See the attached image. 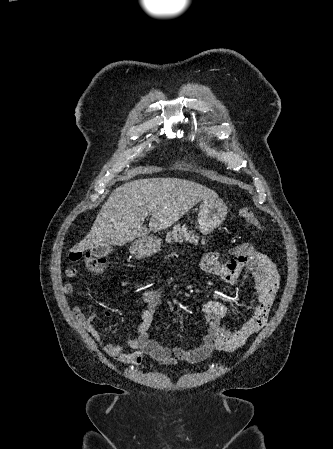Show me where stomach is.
<instances>
[{
  "mask_svg": "<svg viewBox=\"0 0 333 449\" xmlns=\"http://www.w3.org/2000/svg\"><path fill=\"white\" fill-rule=\"evenodd\" d=\"M227 205L219 198L204 199L198 214V229L204 235L220 226L226 218ZM161 249V240L156 236L144 237L135 241L130 247V253L137 258L156 254Z\"/></svg>",
  "mask_w": 333,
  "mask_h": 449,
  "instance_id": "0dacf381",
  "label": "stomach"
}]
</instances>
